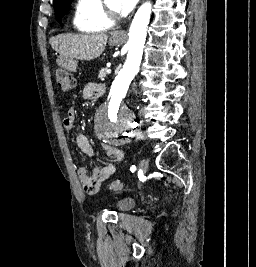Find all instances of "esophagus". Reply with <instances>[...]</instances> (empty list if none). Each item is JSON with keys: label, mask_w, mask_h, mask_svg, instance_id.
Here are the masks:
<instances>
[{"label": "esophagus", "mask_w": 256, "mask_h": 267, "mask_svg": "<svg viewBox=\"0 0 256 267\" xmlns=\"http://www.w3.org/2000/svg\"><path fill=\"white\" fill-rule=\"evenodd\" d=\"M118 36H120V37L125 36V32H119Z\"/></svg>", "instance_id": "1"}]
</instances>
